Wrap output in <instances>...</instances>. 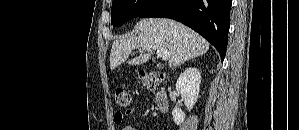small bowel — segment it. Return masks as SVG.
I'll return each instance as SVG.
<instances>
[{
	"label": "small bowel",
	"mask_w": 299,
	"mask_h": 130,
	"mask_svg": "<svg viewBox=\"0 0 299 130\" xmlns=\"http://www.w3.org/2000/svg\"><path fill=\"white\" fill-rule=\"evenodd\" d=\"M133 114H135L134 109H128L125 113L118 111L114 114V122H115V124L120 125V124H122L125 116H131ZM121 130H139V129L134 126L127 125V126H124Z\"/></svg>",
	"instance_id": "1"
}]
</instances>
